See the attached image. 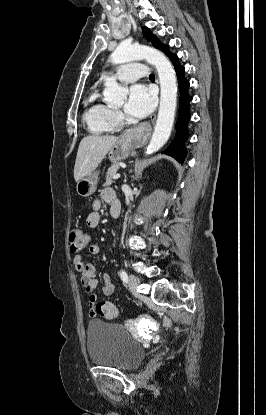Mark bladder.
I'll list each match as a JSON object with an SVG mask.
<instances>
[{
	"label": "bladder",
	"instance_id": "obj_1",
	"mask_svg": "<svg viewBox=\"0 0 266 415\" xmlns=\"http://www.w3.org/2000/svg\"><path fill=\"white\" fill-rule=\"evenodd\" d=\"M87 353L92 364L133 370L145 358V349L121 325L91 320L87 329Z\"/></svg>",
	"mask_w": 266,
	"mask_h": 415
}]
</instances>
